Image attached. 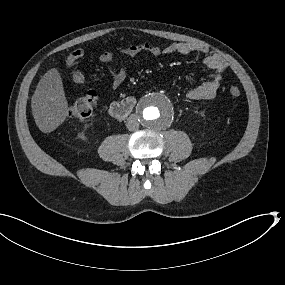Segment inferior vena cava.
<instances>
[{
	"mask_svg": "<svg viewBox=\"0 0 285 285\" xmlns=\"http://www.w3.org/2000/svg\"><path fill=\"white\" fill-rule=\"evenodd\" d=\"M126 126L129 131H137L139 129L138 116L131 114L127 119Z\"/></svg>",
	"mask_w": 285,
	"mask_h": 285,
	"instance_id": "602c4592",
	"label": "inferior vena cava"
}]
</instances>
